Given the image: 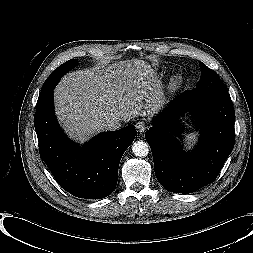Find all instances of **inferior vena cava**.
I'll use <instances>...</instances> for the list:
<instances>
[{
	"mask_svg": "<svg viewBox=\"0 0 253 253\" xmlns=\"http://www.w3.org/2000/svg\"><path fill=\"white\" fill-rule=\"evenodd\" d=\"M106 126L108 130H117L121 126L120 119L117 118L108 119L106 122Z\"/></svg>",
	"mask_w": 253,
	"mask_h": 253,
	"instance_id": "inferior-vena-cava-1",
	"label": "inferior vena cava"
}]
</instances>
